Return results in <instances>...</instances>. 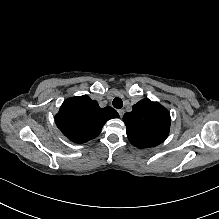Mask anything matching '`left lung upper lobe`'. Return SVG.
<instances>
[{
	"mask_svg": "<svg viewBox=\"0 0 219 219\" xmlns=\"http://www.w3.org/2000/svg\"><path fill=\"white\" fill-rule=\"evenodd\" d=\"M123 121L130 143L141 149L161 144L169 134L171 122L168 110L148 98L135 104L131 112L125 113Z\"/></svg>",
	"mask_w": 219,
	"mask_h": 219,
	"instance_id": "left-lung-upper-lobe-1",
	"label": "left lung upper lobe"
}]
</instances>
